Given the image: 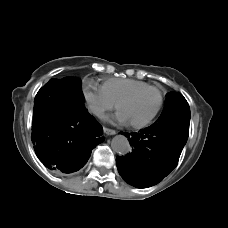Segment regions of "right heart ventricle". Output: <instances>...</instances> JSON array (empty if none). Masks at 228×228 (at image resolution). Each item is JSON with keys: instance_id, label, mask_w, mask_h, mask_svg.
<instances>
[{"instance_id": "obj_1", "label": "right heart ventricle", "mask_w": 228, "mask_h": 228, "mask_svg": "<svg viewBox=\"0 0 228 228\" xmlns=\"http://www.w3.org/2000/svg\"><path fill=\"white\" fill-rule=\"evenodd\" d=\"M148 87H151V85L135 79L111 78L103 83L102 91L117 105L127 95Z\"/></svg>"}]
</instances>
